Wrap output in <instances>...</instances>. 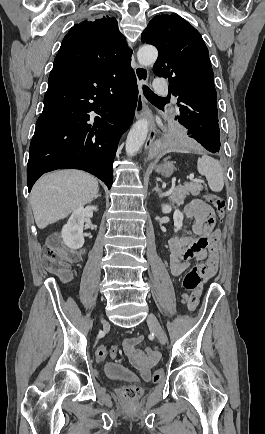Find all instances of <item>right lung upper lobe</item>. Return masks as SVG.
<instances>
[{
  "label": "right lung upper lobe",
  "instance_id": "obj_1",
  "mask_svg": "<svg viewBox=\"0 0 265 434\" xmlns=\"http://www.w3.org/2000/svg\"><path fill=\"white\" fill-rule=\"evenodd\" d=\"M130 59L131 51L115 18H87L64 37L53 68L98 69Z\"/></svg>",
  "mask_w": 265,
  "mask_h": 434
}]
</instances>
